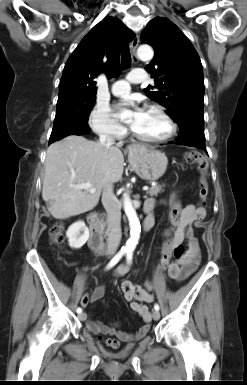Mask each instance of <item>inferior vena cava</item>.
Returning a JSON list of instances; mask_svg holds the SVG:
<instances>
[{
  "mask_svg": "<svg viewBox=\"0 0 247 385\" xmlns=\"http://www.w3.org/2000/svg\"><path fill=\"white\" fill-rule=\"evenodd\" d=\"M100 144L106 148L114 144V140L107 135H100ZM102 204L107 212V253L112 255L116 252L121 240V208L119 201L114 195L113 185L108 184L102 194Z\"/></svg>",
  "mask_w": 247,
  "mask_h": 385,
  "instance_id": "1",
  "label": "inferior vena cava"
}]
</instances>
